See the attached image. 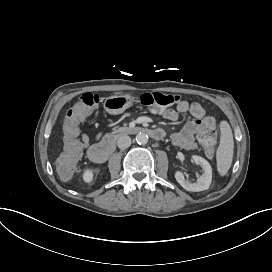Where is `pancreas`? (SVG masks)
I'll return each mask as SVG.
<instances>
[{
	"label": "pancreas",
	"instance_id": "obj_1",
	"mask_svg": "<svg viewBox=\"0 0 272 272\" xmlns=\"http://www.w3.org/2000/svg\"><path fill=\"white\" fill-rule=\"evenodd\" d=\"M130 131V128L127 127V126H124V127H120L119 129L117 130H114L113 131V134H115V137L118 138L119 136H121L122 134H126Z\"/></svg>",
	"mask_w": 272,
	"mask_h": 272
}]
</instances>
